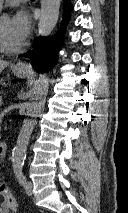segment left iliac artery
Wrapping results in <instances>:
<instances>
[{
    "label": "left iliac artery",
    "mask_w": 128,
    "mask_h": 213,
    "mask_svg": "<svg viewBox=\"0 0 128 213\" xmlns=\"http://www.w3.org/2000/svg\"><path fill=\"white\" fill-rule=\"evenodd\" d=\"M22 168H23V165L22 164H17L14 166V173H15V176L18 180V182L21 184V185H24L25 184V181H26V178L23 174V171H22Z\"/></svg>",
    "instance_id": "44dca946"
}]
</instances>
